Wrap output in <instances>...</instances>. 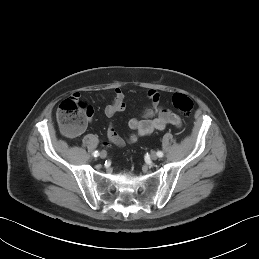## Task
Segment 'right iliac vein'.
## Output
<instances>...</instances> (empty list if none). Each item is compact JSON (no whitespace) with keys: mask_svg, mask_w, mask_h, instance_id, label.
Instances as JSON below:
<instances>
[{"mask_svg":"<svg viewBox=\"0 0 259 259\" xmlns=\"http://www.w3.org/2000/svg\"><path fill=\"white\" fill-rule=\"evenodd\" d=\"M99 156H100V158L105 159L107 157V152L106 151H101Z\"/></svg>","mask_w":259,"mask_h":259,"instance_id":"1","label":"right iliac vein"}]
</instances>
